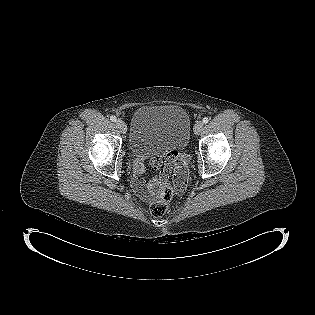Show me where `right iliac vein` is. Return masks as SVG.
I'll list each match as a JSON object with an SVG mask.
<instances>
[{
	"label": "right iliac vein",
	"instance_id": "obj_1",
	"mask_svg": "<svg viewBox=\"0 0 315 315\" xmlns=\"http://www.w3.org/2000/svg\"><path fill=\"white\" fill-rule=\"evenodd\" d=\"M116 126L119 130H121L122 132H126L127 131V125L124 121L118 119L116 121Z\"/></svg>",
	"mask_w": 315,
	"mask_h": 315
}]
</instances>
